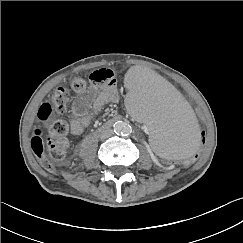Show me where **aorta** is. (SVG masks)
<instances>
[{"instance_id": "1", "label": "aorta", "mask_w": 243, "mask_h": 243, "mask_svg": "<svg viewBox=\"0 0 243 243\" xmlns=\"http://www.w3.org/2000/svg\"><path fill=\"white\" fill-rule=\"evenodd\" d=\"M114 131L123 136H127L132 132V127L124 121H117L114 124Z\"/></svg>"}]
</instances>
